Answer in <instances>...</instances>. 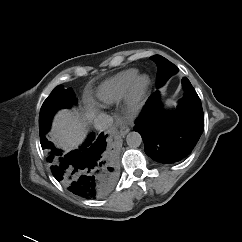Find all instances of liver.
Returning a JSON list of instances; mask_svg holds the SVG:
<instances>
[{"mask_svg": "<svg viewBox=\"0 0 242 242\" xmlns=\"http://www.w3.org/2000/svg\"><path fill=\"white\" fill-rule=\"evenodd\" d=\"M93 117V113L88 114V118ZM86 134V123L79 114L64 109L55 115L49 137L57 146L71 150L84 141Z\"/></svg>", "mask_w": 242, "mask_h": 242, "instance_id": "obj_1", "label": "liver"}]
</instances>
